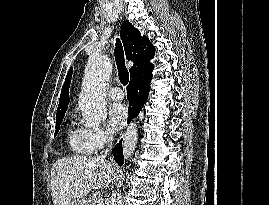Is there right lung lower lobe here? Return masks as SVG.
Instances as JSON below:
<instances>
[{
	"mask_svg": "<svg viewBox=\"0 0 269 205\" xmlns=\"http://www.w3.org/2000/svg\"><path fill=\"white\" fill-rule=\"evenodd\" d=\"M151 78L152 72H149L130 80V84L127 87V97L129 100V122L139 114L146 102L150 90ZM112 153L115 161L119 165H123L124 156L122 140H120V142L113 148Z\"/></svg>",
	"mask_w": 269,
	"mask_h": 205,
	"instance_id": "obj_1",
	"label": "right lung lower lobe"
}]
</instances>
